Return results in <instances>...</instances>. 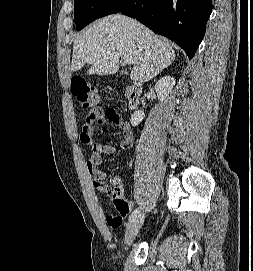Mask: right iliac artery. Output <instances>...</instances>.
Segmentation results:
<instances>
[{"instance_id":"1","label":"right iliac artery","mask_w":253,"mask_h":271,"mask_svg":"<svg viewBox=\"0 0 253 271\" xmlns=\"http://www.w3.org/2000/svg\"><path fill=\"white\" fill-rule=\"evenodd\" d=\"M139 212H140L139 209L134 210L132 212V214L130 215V217H129V221L132 222L137 217V215H138Z\"/></svg>"}]
</instances>
